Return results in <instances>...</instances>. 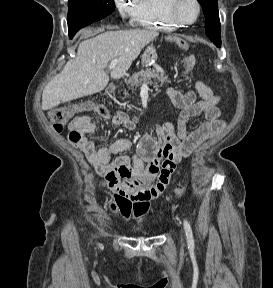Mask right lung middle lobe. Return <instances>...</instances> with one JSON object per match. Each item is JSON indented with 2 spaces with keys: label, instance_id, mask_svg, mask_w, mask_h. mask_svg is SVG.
Here are the masks:
<instances>
[{
  "label": "right lung middle lobe",
  "instance_id": "dd1d6c3e",
  "mask_svg": "<svg viewBox=\"0 0 273 288\" xmlns=\"http://www.w3.org/2000/svg\"><path fill=\"white\" fill-rule=\"evenodd\" d=\"M69 36L82 27L87 26L110 15L114 9V0H69L68 1Z\"/></svg>",
  "mask_w": 273,
  "mask_h": 288
}]
</instances>
